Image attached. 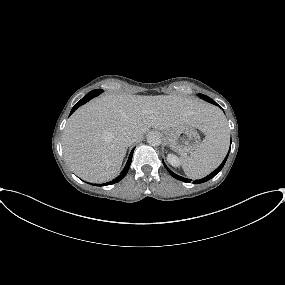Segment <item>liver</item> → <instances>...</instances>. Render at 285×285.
I'll list each match as a JSON object with an SVG mask.
<instances>
[{
  "label": "liver",
  "mask_w": 285,
  "mask_h": 285,
  "mask_svg": "<svg viewBox=\"0 0 285 285\" xmlns=\"http://www.w3.org/2000/svg\"><path fill=\"white\" fill-rule=\"evenodd\" d=\"M218 113L214 106L191 97L107 94L77 109L67 121L64 159L80 178L105 182L120 171L127 151L124 134H135L138 141L151 127L168 130L186 125L207 134Z\"/></svg>",
  "instance_id": "obj_1"
}]
</instances>
